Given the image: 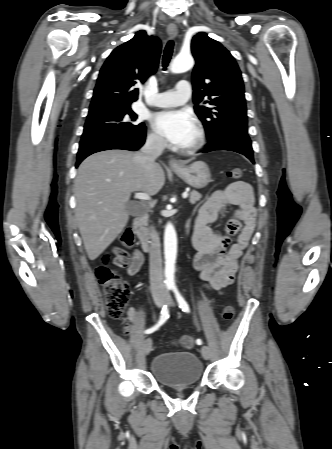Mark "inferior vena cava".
I'll return each instance as SVG.
<instances>
[{
    "mask_svg": "<svg viewBox=\"0 0 332 449\" xmlns=\"http://www.w3.org/2000/svg\"><path fill=\"white\" fill-rule=\"evenodd\" d=\"M166 146V140L163 137H149L141 150L136 153L135 160L145 169L149 170L155 165V160L162 154ZM150 284L153 296L164 294V281L162 271L161 244L158 233L155 229L150 232Z\"/></svg>",
    "mask_w": 332,
    "mask_h": 449,
    "instance_id": "inferior-vena-cava-1",
    "label": "inferior vena cava"
}]
</instances>
